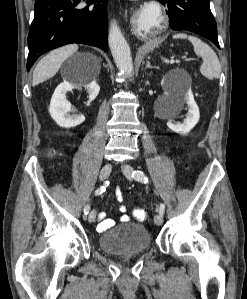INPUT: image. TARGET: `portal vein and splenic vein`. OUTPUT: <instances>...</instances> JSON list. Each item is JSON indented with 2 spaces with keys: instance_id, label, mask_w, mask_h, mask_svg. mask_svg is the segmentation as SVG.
<instances>
[{
  "instance_id": "1",
  "label": "portal vein and splenic vein",
  "mask_w": 247,
  "mask_h": 299,
  "mask_svg": "<svg viewBox=\"0 0 247 299\" xmlns=\"http://www.w3.org/2000/svg\"><path fill=\"white\" fill-rule=\"evenodd\" d=\"M175 61L173 59L170 60V63H174ZM176 62H178V60H176Z\"/></svg>"
}]
</instances>
